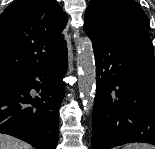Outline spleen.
<instances>
[{
  "mask_svg": "<svg viewBox=\"0 0 155 149\" xmlns=\"http://www.w3.org/2000/svg\"><path fill=\"white\" fill-rule=\"evenodd\" d=\"M123 149H155V146L144 143H132L125 145Z\"/></svg>",
  "mask_w": 155,
  "mask_h": 149,
  "instance_id": "spleen-1",
  "label": "spleen"
}]
</instances>
